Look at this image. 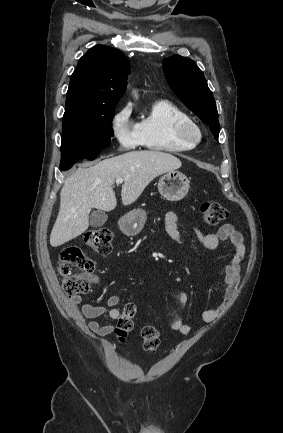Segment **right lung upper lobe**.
<instances>
[{"mask_svg": "<svg viewBox=\"0 0 283 433\" xmlns=\"http://www.w3.org/2000/svg\"><path fill=\"white\" fill-rule=\"evenodd\" d=\"M129 60L119 50L96 45L78 62L66 96V109L117 104L126 89Z\"/></svg>", "mask_w": 283, "mask_h": 433, "instance_id": "cb5924a9", "label": "right lung upper lobe"}]
</instances>
